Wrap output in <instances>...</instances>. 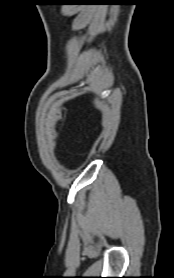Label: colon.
Wrapping results in <instances>:
<instances>
[{
  "instance_id": "obj_1",
  "label": "colon",
  "mask_w": 174,
  "mask_h": 278,
  "mask_svg": "<svg viewBox=\"0 0 174 278\" xmlns=\"http://www.w3.org/2000/svg\"><path fill=\"white\" fill-rule=\"evenodd\" d=\"M61 119V114L58 112V113H55L54 115H53V122L54 123H56V122H58L59 120ZM53 134H55V129H53V132H52Z\"/></svg>"
}]
</instances>
